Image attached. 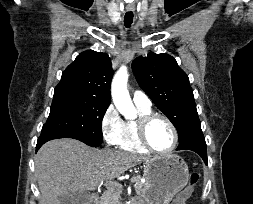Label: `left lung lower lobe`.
<instances>
[{
	"mask_svg": "<svg viewBox=\"0 0 253 204\" xmlns=\"http://www.w3.org/2000/svg\"><path fill=\"white\" fill-rule=\"evenodd\" d=\"M177 150H191L199 154L207 165V151L200 121L190 125L184 137L180 140Z\"/></svg>",
	"mask_w": 253,
	"mask_h": 204,
	"instance_id": "obj_1",
	"label": "left lung lower lobe"
}]
</instances>
